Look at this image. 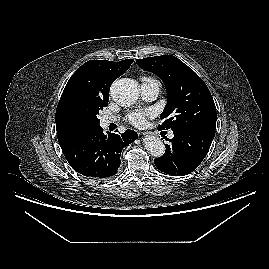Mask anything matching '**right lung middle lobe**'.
<instances>
[{"instance_id":"obj_1","label":"right lung middle lobe","mask_w":269,"mask_h":269,"mask_svg":"<svg viewBox=\"0 0 269 269\" xmlns=\"http://www.w3.org/2000/svg\"><path fill=\"white\" fill-rule=\"evenodd\" d=\"M109 97H80L74 103L77 118L85 125L95 129L99 127V112L108 105Z\"/></svg>"}]
</instances>
